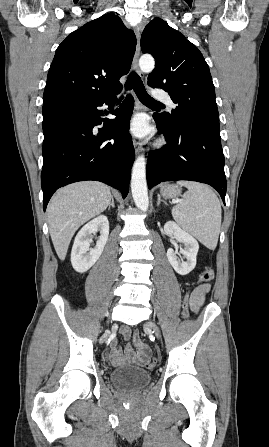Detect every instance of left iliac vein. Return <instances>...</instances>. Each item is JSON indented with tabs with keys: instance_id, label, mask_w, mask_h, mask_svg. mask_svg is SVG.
<instances>
[{
	"instance_id": "left-iliac-vein-1",
	"label": "left iliac vein",
	"mask_w": 269,
	"mask_h": 447,
	"mask_svg": "<svg viewBox=\"0 0 269 447\" xmlns=\"http://www.w3.org/2000/svg\"><path fill=\"white\" fill-rule=\"evenodd\" d=\"M148 326H150L151 328H155V329L157 330V332H156V337H157V338H160V333H159V331H158L157 325H156L155 323H149Z\"/></svg>"
}]
</instances>
